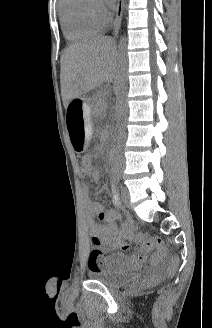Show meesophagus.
<instances>
[{
    "label": "esophagus",
    "mask_w": 212,
    "mask_h": 328,
    "mask_svg": "<svg viewBox=\"0 0 212 328\" xmlns=\"http://www.w3.org/2000/svg\"><path fill=\"white\" fill-rule=\"evenodd\" d=\"M123 8H124V0H118L117 2V8H116V15L113 22V36L116 37L118 34V31L120 29L121 20H122V14H123Z\"/></svg>",
    "instance_id": "1"
}]
</instances>
